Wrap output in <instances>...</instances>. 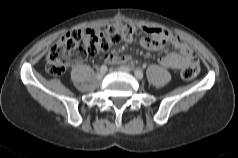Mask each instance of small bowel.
<instances>
[{"label":"small bowel","mask_w":238,"mask_h":158,"mask_svg":"<svg viewBox=\"0 0 238 158\" xmlns=\"http://www.w3.org/2000/svg\"><path fill=\"white\" fill-rule=\"evenodd\" d=\"M134 29V27H133ZM143 36L137 39L140 46L147 50L158 51L166 44H171L177 52H170L160 57L158 62L160 65L173 70H178L190 65H198V59L194 55L189 45L178 36L156 27H142ZM135 33V29H134ZM133 36L127 41H134ZM104 59L109 64H124L130 60L128 55H118L107 53Z\"/></svg>","instance_id":"small-bowel-1"}]
</instances>
